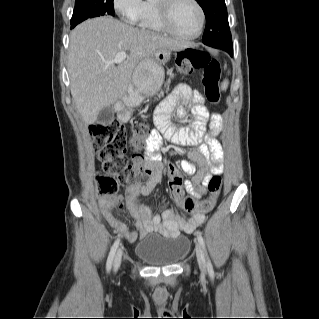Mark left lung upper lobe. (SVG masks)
I'll list each match as a JSON object with an SVG mask.
<instances>
[{"label":"left lung upper lobe","instance_id":"obj_1","mask_svg":"<svg viewBox=\"0 0 319 319\" xmlns=\"http://www.w3.org/2000/svg\"><path fill=\"white\" fill-rule=\"evenodd\" d=\"M206 16V28L202 41L204 44L221 49L224 45H231L225 0H196Z\"/></svg>","mask_w":319,"mask_h":319}]
</instances>
